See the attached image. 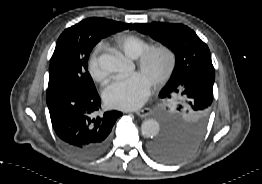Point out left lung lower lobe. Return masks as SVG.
I'll return each instance as SVG.
<instances>
[{
	"instance_id": "0a47b994",
	"label": "left lung lower lobe",
	"mask_w": 262,
	"mask_h": 184,
	"mask_svg": "<svg viewBox=\"0 0 262 184\" xmlns=\"http://www.w3.org/2000/svg\"><path fill=\"white\" fill-rule=\"evenodd\" d=\"M192 148L184 143H179L162 137L149 145L150 153L160 160H174L188 153Z\"/></svg>"
}]
</instances>
